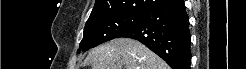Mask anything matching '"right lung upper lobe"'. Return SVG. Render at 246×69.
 <instances>
[{
  "mask_svg": "<svg viewBox=\"0 0 246 69\" xmlns=\"http://www.w3.org/2000/svg\"><path fill=\"white\" fill-rule=\"evenodd\" d=\"M166 0H96L87 21L119 14H142Z\"/></svg>",
  "mask_w": 246,
  "mask_h": 69,
  "instance_id": "1",
  "label": "right lung upper lobe"
}]
</instances>
